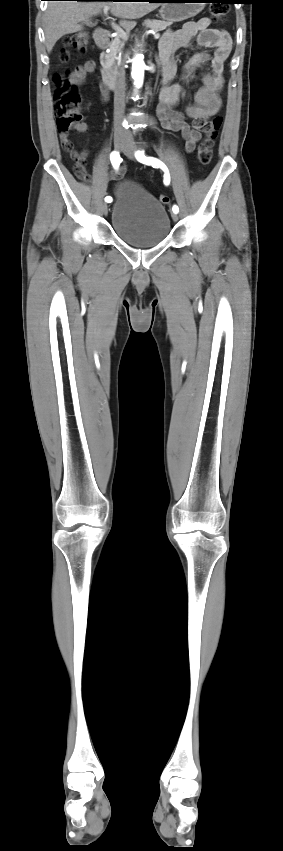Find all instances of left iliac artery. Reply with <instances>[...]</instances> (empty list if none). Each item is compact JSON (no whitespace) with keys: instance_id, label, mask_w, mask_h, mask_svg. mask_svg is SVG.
<instances>
[{"instance_id":"1","label":"left iliac artery","mask_w":283,"mask_h":851,"mask_svg":"<svg viewBox=\"0 0 283 851\" xmlns=\"http://www.w3.org/2000/svg\"><path fill=\"white\" fill-rule=\"evenodd\" d=\"M135 156H136L137 160L139 162L143 163V164L151 165V166L157 167V168L160 167L165 173L164 174V184L169 185V183H170L169 171H168V168L166 167V165L162 161H160V160H158L157 158H154V157L145 156L143 151H137L135 153ZM172 210H173L174 213H178L179 208H178V206L174 205Z\"/></svg>"}]
</instances>
